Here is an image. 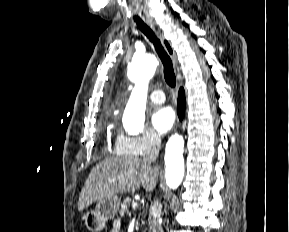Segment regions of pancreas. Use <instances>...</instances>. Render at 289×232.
<instances>
[{
    "mask_svg": "<svg viewBox=\"0 0 289 232\" xmlns=\"http://www.w3.org/2000/svg\"><path fill=\"white\" fill-rule=\"evenodd\" d=\"M130 203H131V199L128 197L123 200V202L121 203V206H120V210H119V214L121 216H123L124 214L129 212L128 209L130 207Z\"/></svg>",
    "mask_w": 289,
    "mask_h": 232,
    "instance_id": "1",
    "label": "pancreas"
}]
</instances>
